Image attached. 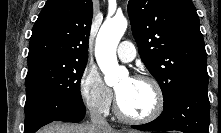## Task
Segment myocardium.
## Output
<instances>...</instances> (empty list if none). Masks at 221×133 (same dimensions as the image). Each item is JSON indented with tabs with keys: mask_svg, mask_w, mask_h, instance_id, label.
Returning a JSON list of instances; mask_svg holds the SVG:
<instances>
[{
	"mask_svg": "<svg viewBox=\"0 0 221 133\" xmlns=\"http://www.w3.org/2000/svg\"><path fill=\"white\" fill-rule=\"evenodd\" d=\"M134 80L139 81H146L151 84L154 94H155V105L153 110L147 114L146 116L136 117L130 116L123 112L119 100L118 94L116 95V106H115V113L119 119L122 121L132 123V124H145L154 121L157 119L161 113L163 112L164 105H165V97L163 89L156 78L147 74H137L132 77Z\"/></svg>",
	"mask_w": 221,
	"mask_h": 133,
	"instance_id": "obj_1",
	"label": "myocardium"
}]
</instances>
